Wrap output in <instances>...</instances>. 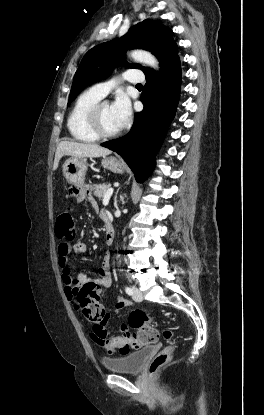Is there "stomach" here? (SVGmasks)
I'll return each instance as SVG.
<instances>
[{
    "instance_id": "obj_1",
    "label": "stomach",
    "mask_w": 264,
    "mask_h": 415,
    "mask_svg": "<svg viewBox=\"0 0 264 415\" xmlns=\"http://www.w3.org/2000/svg\"><path fill=\"white\" fill-rule=\"evenodd\" d=\"M101 164L105 169L114 173L121 174L125 170L123 162L116 157H103ZM62 170L68 183L81 187L84 184L87 171V159L85 157H71L64 162Z\"/></svg>"
}]
</instances>
